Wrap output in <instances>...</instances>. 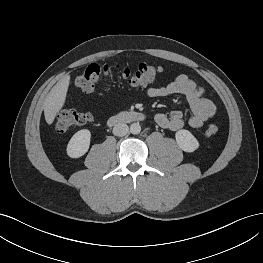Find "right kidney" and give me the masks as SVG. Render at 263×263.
Masks as SVG:
<instances>
[{
  "instance_id": "right-kidney-1",
  "label": "right kidney",
  "mask_w": 263,
  "mask_h": 263,
  "mask_svg": "<svg viewBox=\"0 0 263 263\" xmlns=\"http://www.w3.org/2000/svg\"><path fill=\"white\" fill-rule=\"evenodd\" d=\"M91 132L82 129L76 132L67 145V154L71 158H79L83 156L89 149Z\"/></svg>"
}]
</instances>
